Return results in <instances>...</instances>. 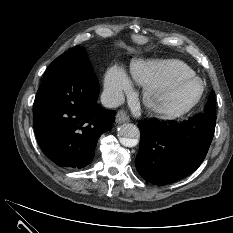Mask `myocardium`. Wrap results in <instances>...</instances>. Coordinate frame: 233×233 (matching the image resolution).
I'll list each match as a JSON object with an SVG mask.
<instances>
[{
  "label": "myocardium",
  "instance_id": "1",
  "mask_svg": "<svg viewBox=\"0 0 233 233\" xmlns=\"http://www.w3.org/2000/svg\"><path fill=\"white\" fill-rule=\"evenodd\" d=\"M185 81H194L199 84V92L190 103L180 108H169L158 102V94ZM204 93L205 85L199 77L196 75H183L164 83L145 87L142 95V102L146 111L152 116L161 120L172 121L188 115L201 102Z\"/></svg>",
  "mask_w": 233,
  "mask_h": 233
}]
</instances>
